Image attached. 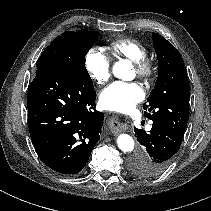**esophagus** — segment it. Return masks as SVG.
<instances>
[{
  "label": "esophagus",
  "mask_w": 211,
  "mask_h": 211,
  "mask_svg": "<svg viewBox=\"0 0 211 211\" xmlns=\"http://www.w3.org/2000/svg\"><path fill=\"white\" fill-rule=\"evenodd\" d=\"M109 128L114 132H120L123 130V123L120 122L118 116H112L108 122Z\"/></svg>",
  "instance_id": "34e87169"
}]
</instances>
